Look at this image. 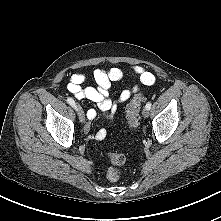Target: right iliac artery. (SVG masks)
<instances>
[{"label": "right iliac artery", "instance_id": "1", "mask_svg": "<svg viewBox=\"0 0 221 221\" xmlns=\"http://www.w3.org/2000/svg\"><path fill=\"white\" fill-rule=\"evenodd\" d=\"M67 102L73 107V108H75L76 109V104H75V102H74V100L72 99V98H68L67 99Z\"/></svg>", "mask_w": 221, "mask_h": 221}]
</instances>
